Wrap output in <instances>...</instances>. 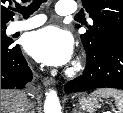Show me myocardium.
Here are the masks:
<instances>
[{"instance_id": "myocardium-1", "label": "myocardium", "mask_w": 123, "mask_h": 113, "mask_svg": "<svg viewBox=\"0 0 123 113\" xmlns=\"http://www.w3.org/2000/svg\"><path fill=\"white\" fill-rule=\"evenodd\" d=\"M77 69H79V66H78V65H76V66L71 70V72H74V71H76Z\"/></svg>"}]
</instances>
